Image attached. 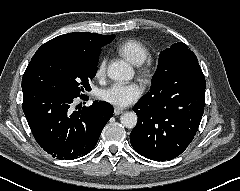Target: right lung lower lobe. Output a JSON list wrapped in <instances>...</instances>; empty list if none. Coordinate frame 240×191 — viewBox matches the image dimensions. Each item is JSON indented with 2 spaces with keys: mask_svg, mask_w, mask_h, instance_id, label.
Instances as JSON below:
<instances>
[{
  "mask_svg": "<svg viewBox=\"0 0 240 191\" xmlns=\"http://www.w3.org/2000/svg\"><path fill=\"white\" fill-rule=\"evenodd\" d=\"M22 91L23 111L35 140L57 159L88 154L113 116L112 106L102 102L72 112L75 98L47 89Z\"/></svg>",
  "mask_w": 240,
  "mask_h": 191,
  "instance_id": "1",
  "label": "right lung lower lobe"
}]
</instances>
